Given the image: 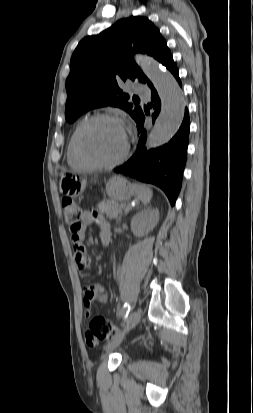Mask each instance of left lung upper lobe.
I'll return each mask as SVG.
<instances>
[{
    "instance_id": "1",
    "label": "left lung upper lobe",
    "mask_w": 253,
    "mask_h": 413,
    "mask_svg": "<svg viewBox=\"0 0 253 413\" xmlns=\"http://www.w3.org/2000/svg\"><path fill=\"white\" fill-rule=\"evenodd\" d=\"M134 52L147 53L164 66L172 56L159 30L141 16L121 19L99 35L79 42L66 80L68 122L90 109L108 105L124 109L134 120L138 118L142 109L129 103V95L119 87L127 79L152 84L131 58Z\"/></svg>"
}]
</instances>
